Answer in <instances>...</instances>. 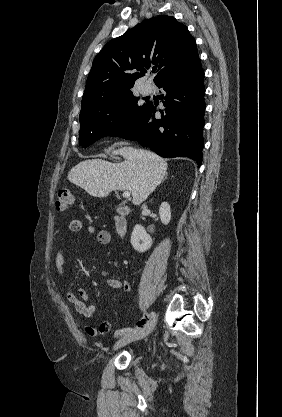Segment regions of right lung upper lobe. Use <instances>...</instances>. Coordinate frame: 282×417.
<instances>
[{
  "label": "right lung upper lobe",
  "mask_w": 282,
  "mask_h": 417,
  "mask_svg": "<svg viewBox=\"0 0 282 417\" xmlns=\"http://www.w3.org/2000/svg\"><path fill=\"white\" fill-rule=\"evenodd\" d=\"M198 59L196 42L184 24L167 15L146 19L124 35L109 41L97 54L83 99L130 90L153 65L157 85Z\"/></svg>",
  "instance_id": "obj_1"
}]
</instances>
